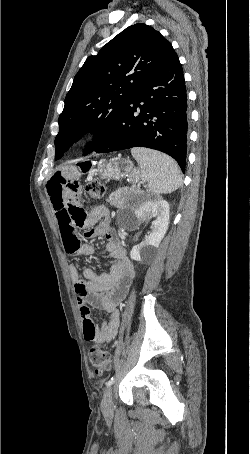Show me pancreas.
Instances as JSON below:
<instances>
[{
    "label": "pancreas",
    "instance_id": "1",
    "mask_svg": "<svg viewBox=\"0 0 250 454\" xmlns=\"http://www.w3.org/2000/svg\"><path fill=\"white\" fill-rule=\"evenodd\" d=\"M135 195H138V192H135ZM107 202L110 203L111 206H120L123 204V199L121 198V195L118 192L112 193L109 198L107 199Z\"/></svg>",
    "mask_w": 250,
    "mask_h": 454
}]
</instances>
